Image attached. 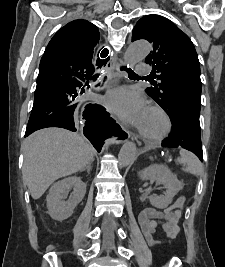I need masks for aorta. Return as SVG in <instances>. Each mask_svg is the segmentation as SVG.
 <instances>
[{
	"label": "aorta",
	"mask_w": 225,
	"mask_h": 267,
	"mask_svg": "<svg viewBox=\"0 0 225 267\" xmlns=\"http://www.w3.org/2000/svg\"><path fill=\"white\" fill-rule=\"evenodd\" d=\"M151 51V45L147 41H136L129 45L124 55V63L133 67L136 63L145 59ZM136 157V146L132 142H126L120 149L118 160L121 167H127L133 163Z\"/></svg>",
	"instance_id": "obj_1"
}]
</instances>
